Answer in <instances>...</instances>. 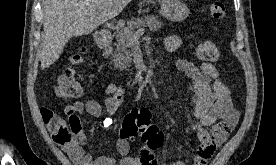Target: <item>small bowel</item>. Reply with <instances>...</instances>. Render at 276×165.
I'll use <instances>...</instances> for the list:
<instances>
[{
	"label": "small bowel",
	"instance_id": "obj_1",
	"mask_svg": "<svg viewBox=\"0 0 276 165\" xmlns=\"http://www.w3.org/2000/svg\"><path fill=\"white\" fill-rule=\"evenodd\" d=\"M165 43L169 51H175L181 46L182 38L180 35H172L166 39ZM175 66L185 74L191 83L192 118L190 126L200 141L193 165H207L215 150L225 142L228 134L235 128L239 114L232 105L230 90L221 81L215 65L204 62L197 66L191 61L179 58L175 61ZM104 94L106 95L104 106L95 99H88L85 102L76 101L64 108L68 122L78 124L80 127L78 139L74 143L61 145L74 165H116L112 157H92L82 146L85 134L79 116L86 112L94 118L101 119V126L108 127L113 124L112 116L121 107L124 90L120 85L109 84L104 89ZM51 112L53 111L46 107L41 109L43 120L49 130L50 124L45 114ZM115 147L119 157L118 165H186L180 160L172 163H160L152 151L140 150L138 156L130 157V145L127 139H118Z\"/></svg>",
	"mask_w": 276,
	"mask_h": 165
}]
</instances>
